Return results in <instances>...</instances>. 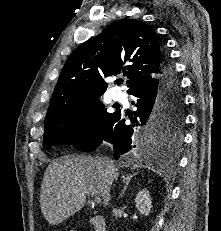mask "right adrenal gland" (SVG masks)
<instances>
[{
	"label": "right adrenal gland",
	"instance_id": "2a0ac1e0",
	"mask_svg": "<svg viewBox=\"0 0 221 231\" xmlns=\"http://www.w3.org/2000/svg\"><path fill=\"white\" fill-rule=\"evenodd\" d=\"M137 173H133V174H130V175H123L122 176V181L123 183L125 184L124 185V188L122 189V192L120 193V197H123L124 196V193L125 191L127 190V187L131 181V179L133 178V176H135Z\"/></svg>",
	"mask_w": 221,
	"mask_h": 231
}]
</instances>
